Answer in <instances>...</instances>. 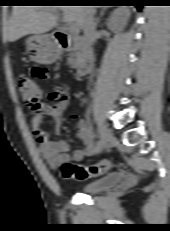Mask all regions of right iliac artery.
<instances>
[{
	"mask_svg": "<svg viewBox=\"0 0 170 231\" xmlns=\"http://www.w3.org/2000/svg\"><path fill=\"white\" fill-rule=\"evenodd\" d=\"M98 150H97V153L100 151V141H99V143H98Z\"/></svg>",
	"mask_w": 170,
	"mask_h": 231,
	"instance_id": "1",
	"label": "right iliac artery"
}]
</instances>
